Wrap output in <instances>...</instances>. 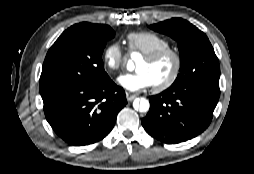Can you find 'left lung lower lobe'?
I'll use <instances>...</instances> for the list:
<instances>
[{
	"mask_svg": "<svg viewBox=\"0 0 254 174\" xmlns=\"http://www.w3.org/2000/svg\"><path fill=\"white\" fill-rule=\"evenodd\" d=\"M219 96L217 82L170 87L149 97L150 109L142 125L152 137L164 143L187 141L209 126Z\"/></svg>",
	"mask_w": 254,
	"mask_h": 174,
	"instance_id": "left-lung-lower-lobe-1",
	"label": "left lung lower lobe"
}]
</instances>
